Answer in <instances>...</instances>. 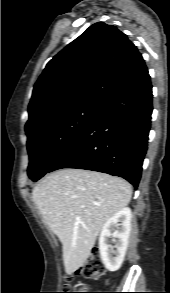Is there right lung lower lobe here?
<instances>
[{
	"mask_svg": "<svg viewBox=\"0 0 170 293\" xmlns=\"http://www.w3.org/2000/svg\"><path fill=\"white\" fill-rule=\"evenodd\" d=\"M149 74L106 99L87 130L50 166L93 170L138 186L152 114Z\"/></svg>",
	"mask_w": 170,
	"mask_h": 293,
	"instance_id": "98d812e1",
	"label": "right lung lower lobe"
}]
</instances>
